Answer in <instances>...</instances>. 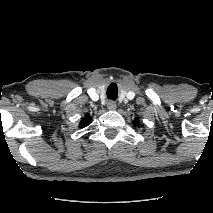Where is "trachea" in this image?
<instances>
[{
    "label": "trachea",
    "instance_id": "obj_1",
    "mask_svg": "<svg viewBox=\"0 0 213 213\" xmlns=\"http://www.w3.org/2000/svg\"><path fill=\"white\" fill-rule=\"evenodd\" d=\"M107 97L111 100H116L118 97V89L116 85L111 84L107 89Z\"/></svg>",
    "mask_w": 213,
    "mask_h": 213
}]
</instances>
